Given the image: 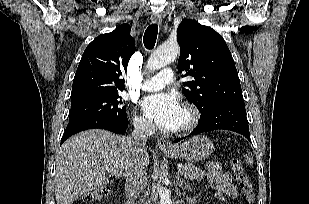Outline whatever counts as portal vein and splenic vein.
<instances>
[{
  "label": "portal vein and splenic vein",
  "mask_w": 309,
  "mask_h": 204,
  "mask_svg": "<svg viewBox=\"0 0 309 204\" xmlns=\"http://www.w3.org/2000/svg\"><path fill=\"white\" fill-rule=\"evenodd\" d=\"M182 173H183V169H179L178 174H182ZM117 176H121V174H117Z\"/></svg>",
  "instance_id": "obj_1"
}]
</instances>
